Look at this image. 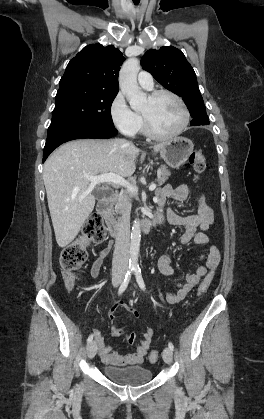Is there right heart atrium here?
<instances>
[{
	"instance_id": "1",
	"label": "right heart atrium",
	"mask_w": 264,
	"mask_h": 419,
	"mask_svg": "<svg viewBox=\"0 0 264 419\" xmlns=\"http://www.w3.org/2000/svg\"><path fill=\"white\" fill-rule=\"evenodd\" d=\"M110 116L115 127L126 136H135L141 129V116L130 108L120 91L110 104Z\"/></svg>"
}]
</instances>
